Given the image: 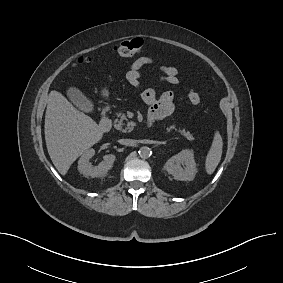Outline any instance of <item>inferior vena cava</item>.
<instances>
[{"label":"inferior vena cava","instance_id":"obj_1","mask_svg":"<svg viewBox=\"0 0 283 283\" xmlns=\"http://www.w3.org/2000/svg\"><path fill=\"white\" fill-rule=\"evenodd\" d=\"M119 143L122 144V145H130V144L133 143V140H131V139H120Z\"/></svg>","mask_w":283,"mask_h":283}]
</instances>
